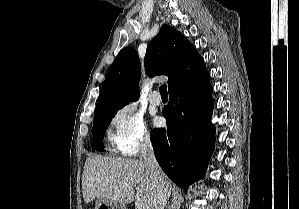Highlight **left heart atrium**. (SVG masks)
<instances>
[{
	"label": "left heart atrium",
	"mask_w": 299,
	"mask_h": 209,
	"mask_svg": "<svg viewBox=\"0 0 299 209\" xmlns=\"http://www.w3.org/2000/svg\"><path fill=\"white\" fill-rule=\"evenodd\" d=\"M155 124H156V125H158V124H159L158 120H155Z\"/></svg>",
	"instance_id": "39dd6f15"
}]
</instances>
